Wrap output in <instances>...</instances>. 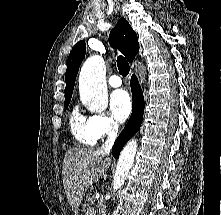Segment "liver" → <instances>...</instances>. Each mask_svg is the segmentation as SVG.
Masks as SVG:
<instances>
[{"label":"liver","mask_w":221,"mask_h":215,"mask_svg":"<svg viewBox=\"0 0 221 215\" xmlns=\"http://www.w3.org/2000/svg\"><path fill=\"white\" fill-rule=\"evenodd\" d=\"M110 167L100 148L70 149L63 160L62 178L65 194L75 214L89 186L103 177Z\"/></svg>","instance_id":"6515ba94"}]
</instances>
